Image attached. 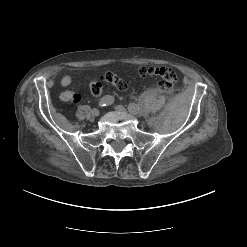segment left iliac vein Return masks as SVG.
Returning a JSON list of instances; mask_svg holds the SVG:
<instances>
[{"mask_svg": "<svg viewBox=\"0 0 247 247\" xmlns=\"http://www.w3.org/2000/svg\"><path fill=\"white\" fill-rule=\"evenodd\" d=\"M115 109L117 110V111H119V112H126L127 110H126V108L125 107H123L122 105H117L116 107H115ZM131 113V112H130ZM132 114V113H131ZM132 115H137V114H132Z\"/></svg>", "mask_w": 247, "mask_h": 247, "instance_id": "left-iliac-vein-1", "label": "left iliac vein"}]
</instances>
